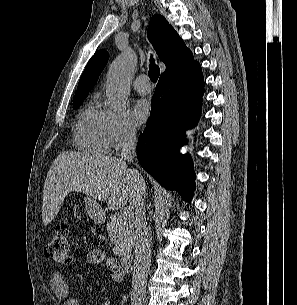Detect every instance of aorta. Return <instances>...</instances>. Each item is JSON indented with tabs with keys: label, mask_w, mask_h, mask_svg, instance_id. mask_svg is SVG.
Here are the masks:
<instances>
[{
	"label": "aorta",
	"mask_w": 297,
	"mask_h": 305,
	"mask_svg": "<svg viewBox=\"0 0 297 305\" xmlns=\"http://www.w3.org/2000/svg\"><path fill=\"white\" fill-rule=\"evenodd\" d=\"M137 63L136 55L126 50L111 64L106 81V99L110 110L122 113L130 93V79Z\"/></svg>",
	"instance_id": "aorta-1"
}]
</instances>
